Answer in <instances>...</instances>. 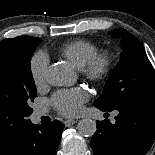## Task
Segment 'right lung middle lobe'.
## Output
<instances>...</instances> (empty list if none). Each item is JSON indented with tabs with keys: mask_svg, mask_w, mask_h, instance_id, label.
I'll return each instance as SVG.
<instances>
[{
	"mask_svg": "<svg viewBox=\"0 0 155 155\" xmlns=\"http://www.w3.org/2000/svg\"><path fill=\"white\" fill-rule=\"evenodd\" d=\"M39 38L0 42V145L15 138L31 121L37 91L30 60Z\"/></svg>",
	"mask_w": 155,
	"mask_h": 155,
	"instance_id": "right-lung-middle-lobe-1",
	"label": "right lung middle lobe"
}]
</instances>
